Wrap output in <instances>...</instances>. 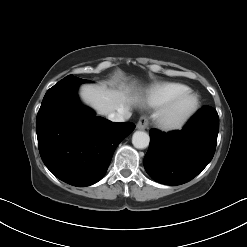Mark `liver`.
I'll use <instances>...</instances> for the list:
<instances>
[{"label":"liver","mask_w":247,"mask_h":247,"mask_svg":"<svg viewBox=\"0 0 247 247\" xmlns=\"http://www.w3.org/2000/svg\"><path fill=\"white\" fill-rule=\"evenodd\" d=\"M82 100L93 107L99 114L107 115L120 108H130L137 101L133 86L121 85L119 90L105 87L84 85L80 89Z\"/></svg>","instance_id":"liver-1"}]
</instances>
